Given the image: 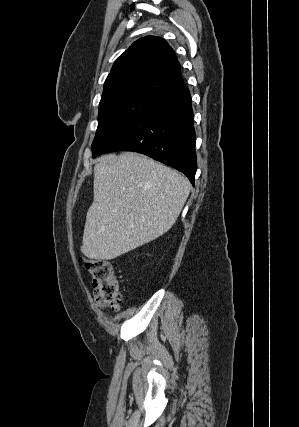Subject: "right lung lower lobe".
<instances>
[{
	"label": "right lung lower lobe",
	"instance_id": "1",
	"mask_svg": "<svg viewBox=\"0 0 299 427\" xmlns=\"http://www.w3.org/2000/svg\"><path fill=\"white\" fill-rule=\"evenodd\" d=\"M191 96L182 87L153 104L98 154L135 151L184 173L194 185L197 170Z\"/></svg>",
	"mask_w": 299,
	"mask_h": 427
}]
</instances>
